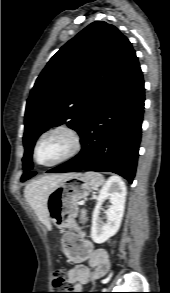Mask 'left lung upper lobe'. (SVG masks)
Here are the masks:
<instances>
[{
  "label": "left lung upper lobe",
  "mask_w": 170,
  "mask_h": 293,
  "mask_svg": "<svg viewBox=\"0 0 170 293\" xmlns=\"http://www.w3.org/2000/svg\"><path fill=\"white\" fill-rule=\"evenodd\" d=\"M132 52L131 43L115 26L95 21L50 59L26 105L22 182L35 175L31 160L40 134L61 124L80 134Z\"/></svg>",
  "instance_id": "left-lung-upper-lobe-1"
}]
</instances>
